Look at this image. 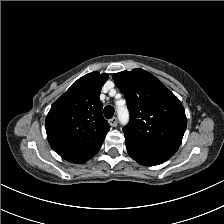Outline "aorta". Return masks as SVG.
I'll return each mask as SVG.
<instances>
[{
  "instance_id": "obj_1",
  "label": "aorta",
  "mask_w": 224,
  "mask_h": 224,
  "mask_svg": "<svg viewBox=\"0 0 224 224\" xmlns=\"http://www.w3.org/2000/svg\"><path fill=\"white\" fill-rule=\"evenodd\" d=\"M118 116L122 124H127L129 120L128 111L125 108L118 109Z\"/></svg>"
}]
</instances>
